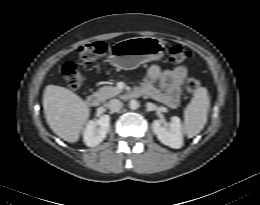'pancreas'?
Wrapping results in <instances>:
<instances>
[{"instance_id": "1", "label": "pancreas", "mask_w": 260, "mask_h": 205, "mask_svg": "<svg viewBox=\"0 0 260 205\" xmlns=\"http://www.w3.org/2000/svg\"><path fill=\"white\" fill-rule=\"evenodd\" d=\"M122 91L118 87L114 86H104L101 87L97 92L96 95L103 101L112 98L114 96H117Z\"/></svg>"}]
</instances>
